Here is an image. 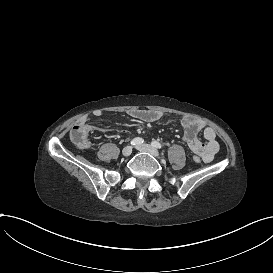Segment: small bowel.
<instances>
[{
  "label": "small bowel",
  "mask_w": 273,
  "mask_h": 273,
  "mask_svg": "<svg viewBox=\"0 0 273 273\" xmlns=\"http://www.w3.org/2000/svg\"><path fill=\"white\" fill-rule=\"evenodd\" d=\"M88 116V115H85ZM95 118H100L103 116V112L99 109L93 112ZM129 116L132 119L140 121H156L161 119L164 114L158 110L150 109H136L129 112ZM89 117V116H88ZM180 122L183 128V140L186 141L191 137L202 136L201 140H204L207 143V150L204 153L198 154L199 157L206 163L213 161L216 153L219 150V144L216 139V132L213 128L207 126L202 120L190 116L183 115L180 117ZM96 127L92 125L89 133Z\"/></svg>",
  "instance_id": "c3829d8e"
}]
</instances>
